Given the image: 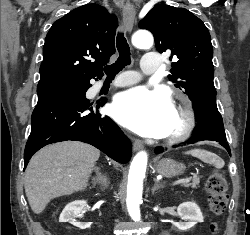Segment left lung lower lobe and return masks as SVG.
I'll list each match as a JSON object with an SVG mask.
<instances>
[{
    "instance_id": "1",
    "label": "left lung lower lobe",
    "mask_w": 250,
    "mask_h": 235,
    "mask_svg": "<svg viewBox=\"0 0 250 235\" xmlns=\"http://www.w3.org/2000/svg\"><path fill=\"white\" fill-rule=\"evenodd\" d=\"M195 109V119L198 122L197 127L194 129L195 137L187 143H194L199 141H217L223 143L222 146L231 155L230 148L225 142L226 135L222 117L217 109L216 95H208L205 97L193 100ZM162 151L158 147L156 153Z\"/></svg>"
}]
</instances>
